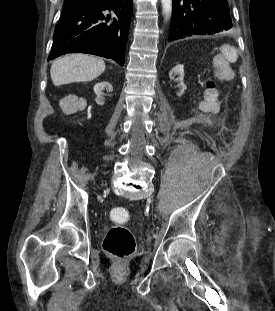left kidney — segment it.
<instances>
[{
    "instance_id": "obj_1",
    "label": "left kidney",
    "mask_w": 275,
    "mask_h": 311,
    "mask_svg": "<svg viewBox=\"0 0 275 311\" xmlns=\"http://www.w3.org/2000/svg\"><path fill=\"white\" fill-rule=\"evenodd\" d=\"M178 75L180 77H178ZM184 69L182 65L175 66L169 73V79L174 82V89H180L179 96L183 95L186 90V85L184 84Z\"/></svg>"
}]
</instances>
